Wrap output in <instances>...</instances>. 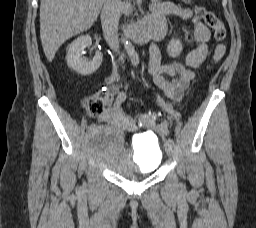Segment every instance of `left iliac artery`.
<instances>
[{"instance_id":"44dca946","label":"left iliac artery","mask_w":256,"mask_h":228,"mask_svg":"<svg viewBox=\"0 0 256 228\" xmlns=\"http://www.w3.org/2000/svg\"><path fill=\"white\" fill-rule=\"evenodd\" d=\"M167 141L170 142L171 144H174V141L171 138H168Z\"/></svg>"}]
</instances>
